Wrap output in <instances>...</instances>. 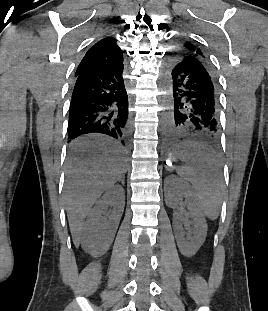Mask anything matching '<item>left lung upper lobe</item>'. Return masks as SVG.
<instances>
[{"label":"left lung upper lobe","mask_w":268,"mask_h":311,"mask_svg":"<svg viewBox=\"0 0 268 311\" xmlns=\"http://www.w3.org/2000/svg\"><path fill=\"white\" fill-rule=\"evenodd\" d=\"M179 51H180L179 56L182 60H186L190 58L191 59L201 58V59H205L209 61L204 51L192 41H188V40L182 41L178 45L177 51L175 53Z\"/></svg>","instance_id":"obj_1"}]
</instances>
